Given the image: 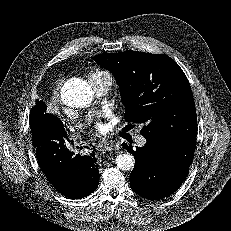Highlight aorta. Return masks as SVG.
Returning <instances> with one entry per match:
<instances>
[{"label": "aorta", "mask_w": 231, "mask_h": 231, "mask_svg": "<svg viewBox=\"0 0 231 231\" xmlns=\"http://www.w3.org/2000/svg\"><path fill=\"white\" fill-rule=\"evenodd\" d=\"M61 98L63 103L69 107L82 108L92 102L93 91L85 80L72 78L64 83L61 89ZM134 164L135 159L128 152H122L116 157V165L120 170L129 171Z\"/></svg>", "instance_id": "1"}]
</instances>
